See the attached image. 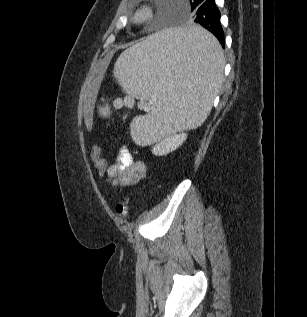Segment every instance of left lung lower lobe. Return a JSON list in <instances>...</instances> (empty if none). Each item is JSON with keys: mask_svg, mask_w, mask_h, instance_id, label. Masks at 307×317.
Returning <instances> with one entry per match:
<instances>
[{"mask_svg": "<svg viewBox=\"0 0 307 317\" xmlns=\"http://www.w3.org/2000/svg\"><path fill=\"white\" fill-rule=\"evenodd\" d=\"M194 7V22L200 24L210 31L224 48V32L220 23L221 14L217 5L215 4V0H197L194 4ZM173 42L190 48L192 51L200 55L201 58L211 61V63L216 56V52L213 48L191 37H180L176 40H173Z\"/></svg>", "mask_w": 307, "mask_h": 317, "instance_id": "1", "label": "left lung lower lobe"}]
</instances>
